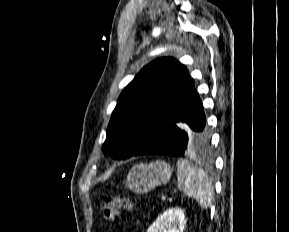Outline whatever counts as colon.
Wrapping results in <instances>:
<instances>
[{"label": "colon", "mask_w": 289, "mask_h": 232, "mask_svg": "<svg viewBox=\"0 0 289 232\" xmlns=\"http://www.w3.org/2000/svg\"><path fill=\"white\" fill-rule=\"evenodd\" d=\"M102 209L104 218L113 223L116 220L120 209L132 212L133 206L127 198L104 195L102 197Z\"/></svg>", "instance_id": "1"}]
</instances>
